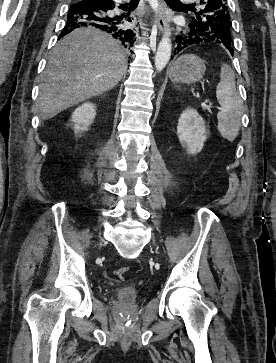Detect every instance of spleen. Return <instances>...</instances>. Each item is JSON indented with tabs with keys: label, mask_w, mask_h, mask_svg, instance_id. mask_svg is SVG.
Segmentation results:
<instances>
[{
	"label": "spleen",
	"mask_w": 276,
	"mask_h": 363,
	"mask_svg": "<svg viewBox=\"0 0 276 363\" xmlns=\"http://www.w3.org/2000/svg\"><path fill=\"white\" fill-rule=\"evenodd\" d=\"M216 97L221 106L217 114L218 131L223 138L232 142L240 130L242 101L236 90L235 74L226 63L221 65L220 82L216 88Z\"/></svg>",
	"instance_id": "1"
}]
</instances>
